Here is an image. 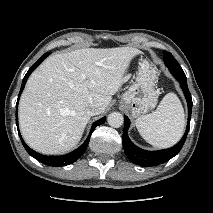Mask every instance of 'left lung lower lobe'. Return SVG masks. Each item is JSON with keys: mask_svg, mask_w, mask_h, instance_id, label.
<instances>
[{"mask_svg": "<svg viewBox=\"0 0 213 213\" xmlns=\"http://www.w3.org/2000/svg\"><path fill=\"white\" fill-rule=\"evenodd\" d=\"M177 80L179 81L181 88L184 92L185 98L187 100L188 122H187V128H186L184 136L182 137L180 142L177 143L175 146L169 149H164L159 151H146V150L140 149L139 147L135 146L128 137L127 132L130 126V120L127 116H124L125 124H124L123 136H122L124 151L126 156L137 165H140L142 167H150V166H156V165L162 164L170 160L171 158H173L175 155L179 153V151L181 150L186 140V137L189 131V126H190L191 111H192L193 103H192L191 94L188 90L187 80L180 79V78Z\"/></svg>", "mask_w": 213, "mask_h": 213, "instance_id": "0a47b994", "label": "left lung lower lobe"}]
</instances>
